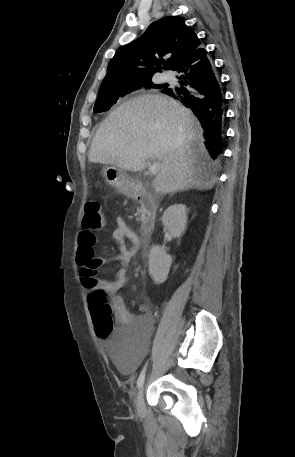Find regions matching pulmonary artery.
<instances>
[{"label":"pulmonary artery","instance_id":"obj_1","mask_svg":"<svg viewBox=\"0 0 295 457\" xmlns=\"http://www.w3.org/2000/svg\"><path fill=\"white\" fill-rule=\"evenodd\" d=\"M171 78H172V76H171V74H169V73H165V74L163 75V79L166 80V81L170 80Z\"/></svg>","mask_w":295,"mask_h":457}]
</instances>
